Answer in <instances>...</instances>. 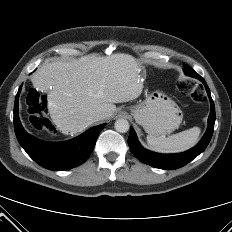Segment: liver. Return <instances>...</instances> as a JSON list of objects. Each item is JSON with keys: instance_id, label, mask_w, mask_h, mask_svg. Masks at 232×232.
<instances>
[{"instance_id": "liver-1", "label": "liver", "mask_w": 232, "mask_h": 232, "mask_svg": "<svg viewBox=\"0 0 232 232\" xmlns=\"http://www.w3.org/2000/svg\"><path fill=\"white\" fill-rule=\"evenodd\" d=\"M140 68L128 54H90L44 64L31 81L35 88L49 90L48 110L57 128L63 134H76L96 122L92 114H101L100 120L110 118L117 109L115 103L140 96L144 87Z\"/></svg>"}]
</instances>
